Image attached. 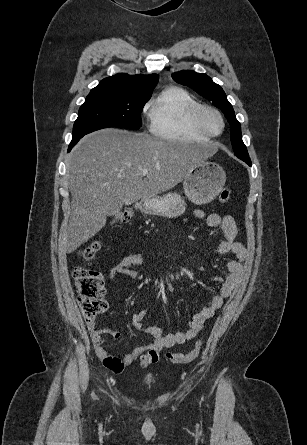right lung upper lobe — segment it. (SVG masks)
Here are the masks:
<instances>
[{
  "instance_id": "right-lung-upper-lobe-1",
  "label": "right lung upper lobe",
  "mask_w": 307,
  "mask_h": 445,
  "mask_svg": "<svg viewBox=\"0 0 307 445\" xmlns=\"http://www.w3.org/2000/svg\"><path fill=\"white\" fill-rule=\"evenodd\" d=\"M158 80L157 74L131 76L119 73L103 79L98 86L90 91L88 96L112 95L150 98Z\"/></svg>"
}]
</instances>
